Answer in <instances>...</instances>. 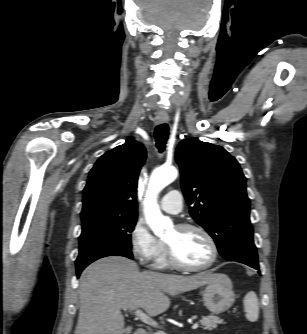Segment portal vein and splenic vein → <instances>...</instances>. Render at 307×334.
Wrapping results in <instances>:
<instances>
[{"label": "portal vein and splenic vein", "mask_w": 307, "mask_h": 334, "mask_svg": "<svg viewBox=\"0 0 307 334\" xmlns=\"http://www.w3.org/2000/svg\"><path fill=\"white\" fill-rule=\"evenodd\" d=\"M135 316L140 319L142 322L151 325V326H158V323L153 320L150 316H148L146 313H144L141 309H136L134 311ZM199 327L198 323H195L192 325V329H197Z\"/></svg>", "instance_id": "obj_1"}]
</instances>
